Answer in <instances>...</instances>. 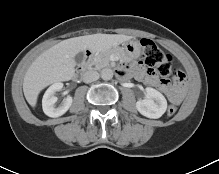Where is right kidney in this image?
<instances>
[{"label":"right kidney","instance_id":"obj_1","mask_svg":"<svg viewBox=\"0 0 219 174\" xmlns=\"http://www.w3.org/2000/svg\"><path fill=\"white\" fill-rule=\"evenodd\" d=\"M63 88V83L56 82L51 85L45 92L43 99H42V108L43 112L49 117H59L65 114L68 109L72 105V97L68 96L63 100L61 105L55 107V103L57 102L58 98L55 96L57 91H60Z\"/></svg>","mask_w":219,"mask_h":174}]
</instances>
